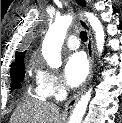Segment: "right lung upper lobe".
Wrapping results in <instances>:
<instances>
[{
    "label": "right lung upper lobe",
    "instance_id": "right-lung-upper-lobe-1",
    "mask_svg": "<svg viewBox=\"0 0 122 123\" xmlns=\"http://www.w3.org/2000/svg\"><path fill=\"white\" fill-rule=\"evenodd\" d=\"M25 52H16L15 53V62L11 65V68L17 67L19 66L21 63H24V56H25Z\"/></svg>",
    "mask_w": 122,
    "mask_h": 123
}]
</instances>
